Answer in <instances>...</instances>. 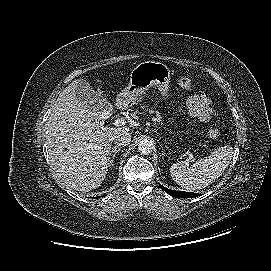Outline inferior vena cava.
<instances>
[{
    "label": "inferior vena cava",
    "mask_w": 271,
    "mask_h": 271,
    "mask_svg": "<svg viewBox=\"0 0 271 271\" xmlns=\"http://www.w3.org/2000/svg\"><path fill=\"white\" fill-rule=\"evenodd\" d=\"M112 140L117 146H126L131 142V134L128 131H119L113 135Z\"/></svg>",
    "instance_id": "obj_1"
}]
</instances>
